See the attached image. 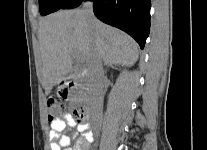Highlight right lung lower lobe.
Listing matches in <instances>:
<instances>
[{
  "label": "right lung lower lobe",
  "instance_id": "obj_1",
  "mask_svg": "<svg viewBox=\"0 0 207 150\" xmlns=\"http://www.w3.org/2000/svg\"><path fill=\"white\" fill-rule=\"evenodd\" d=\"M82 0L67 1L61 9L78 7ZM150 0H93L98 19L131 35L144 48L150 31Z\"/></svg>",
  "mask_w": 207,
  "mask_h": 150
}]
</instances>
